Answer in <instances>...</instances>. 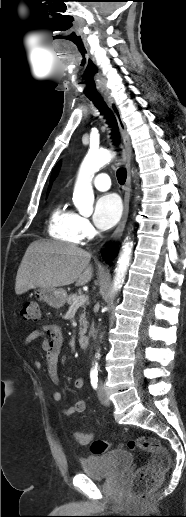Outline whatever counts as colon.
I'll list each match as a JSON object with an SVG mask.
<instances>
[{
  "mask_svg": "<svg viewBox=\"0 0 186 517\" xmlns=\"http://www.w3.org/2000/svg\"><path fill=\"white\" fill-rule=\"evenodd\" d=\"M24 320L36 321L40 317V307L36 301L24 303L21 309ZM77 442L86 441V437L76 434ZM90 450L94 455L105 453L111 446L108 441L100 439L90 440ZM130 449H140L150 454L146 465L140 467L129 485V495L132 499H143L149 492L156 489L161 483L165 472L170 468L171 458L167 449L155 438L139 437L126 442Z\"/></svg>",
  "mask_w": 186,
  "mask_h": 517,
  "instance_id": "1",
  "label": "colon"
}]
</instances>
